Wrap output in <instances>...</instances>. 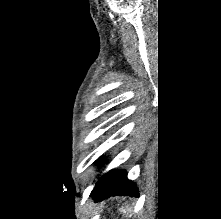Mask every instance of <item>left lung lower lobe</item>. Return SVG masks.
<instances>
[{
    "mask_svg": "<svg viewBox=\"0 0 221 219\" xmlns=\"http://www.w3.org/2000/svg\"><path fill=\"white\" fill-rule=\"evenodd\" d=\"M95 201L114 195L138 196L136 185L127 179L125 171L111 170L101 177L91 193Z\"/></svg>",
    "mask_w": 221,
    "mask_h": 219,
    "instance_id": "left-lung-lower-lobe-1",
    "label": "left lung lower lobe"
}]
</instances>
